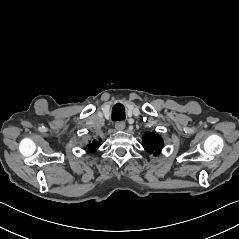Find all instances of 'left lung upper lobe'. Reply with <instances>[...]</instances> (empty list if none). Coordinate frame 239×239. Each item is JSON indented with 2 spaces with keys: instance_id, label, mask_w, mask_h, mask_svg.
Wrapping results in <instances>:
<instances>
[{
  "instance_id": "5c2ea615",
  "label": "left lung upper lobe",
  "mask_w": 239,
  "mask_h": 239,
  "mask_svg": "<svg viewBox=\"0 0 239 239\" xmlns=\"http://www.w3.org/2000/svg\"><path fill=\"white\" fill-rule=\"evenodd\" d=\"M142 146L147 152L157 155L161 152L164 144L157 133L147 132L142 137Z\"/></svg>"
}]
</instances>
